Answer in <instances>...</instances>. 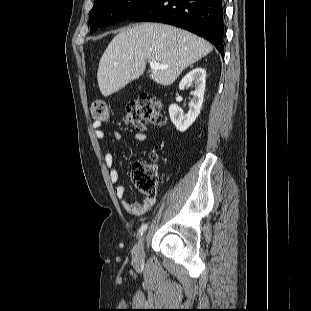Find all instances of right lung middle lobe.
Segmentation results:
<instances>
[{
  "label": "right lung middle lobe",
  "instance_id": "1",
  "mask_svg": "<svg viewBox=\"0 0 311 311\" xmlns=\"http://www.w3.org/2000/svg\"><path fill=\"white\" fill-rule=\"evenodd\" d=\"M156 0H97L89 12L90 32L98 25H111L126 19L148 7Z\"/></svg>",
  "mask_w": 311,
  "mask_h": 311
}]
</instances>
